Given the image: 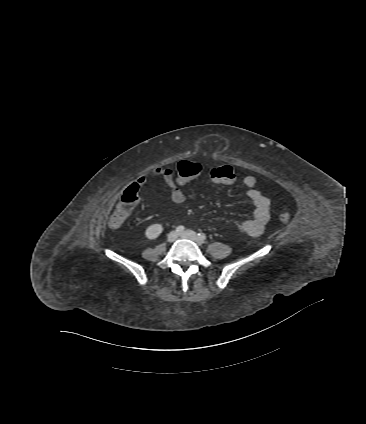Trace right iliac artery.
Returning a JSON list of instances; mask_svg holds the SVG:
<instances>
[{"label":"right iliac artery","mask_w":366,"mask_h":424,"mask_svg":"<svg viewBox=\"0 0 366 424\" xmlns=\"http://www.w3.org/2000/svg\"><path fill=\"white\" fill-rule=\"evenodd\" d=\"M184 229H185V227L184 226H178L177 228H176V231L177 232H183L184 231Z\"/></svg>","instance_id":"82829eb1"}]
</instances>
